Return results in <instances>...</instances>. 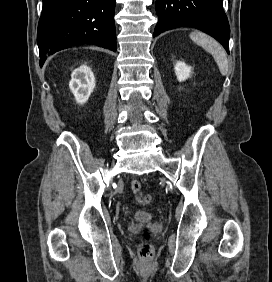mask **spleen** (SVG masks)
<instances>
[{"instance_id": "obj_1", "label": "spleen", "mask_w": 272, "mask_h": 282, "mask_svg": "<svg viewBox=\"0 0 272 282\" xmlns=\"http://www.w3.org/2000/svg\"><path fill=\"white\" fill-rule=\"evenodd\" d=\"M190 38L194 43L201 46L214 57L221 74L226 75L228 72V61L221 45L201 32H192Z\"/></svg>"}]
</instances>
